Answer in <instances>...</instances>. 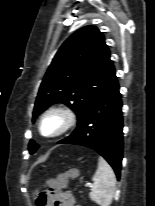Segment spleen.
<instances>
[{"mask_svg":"<svg viewBox=\"0 0 155 206\" xmlns=\"http://www.w3.org/2000/svg\"><path fill=\"white\" fill-rule=\"evenodd\" d=\"M92 180L90 199L100 206H109L115 193L116 177L110 165L102 157L98 159V169Z\"/></svg>","mask_w":155,"mask_h":206,"instance_id":"3e777b00","label":"spleen"}]
</instances>
